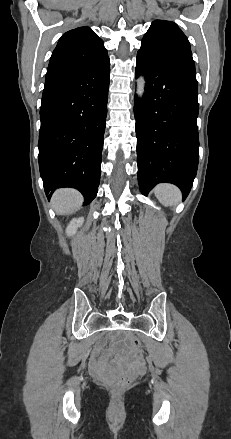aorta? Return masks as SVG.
<instances>
[{
    "instance_id": "762f6f07",
    "label": "aorta",
    "mask_w": 231,
    "mask_h": 439,
    "mask_svg": "<svg viewBox=\"0 0 231 439\" xmlns=\"http://www.w3.org/2000/svg\"><path fill=\"white\" fill-rule=\"evenodd\" d=\"M145 91V79L143 76H140L137 80V89L136 93L138 98L141 100Z\"/></svg>"
}]
</instances>
